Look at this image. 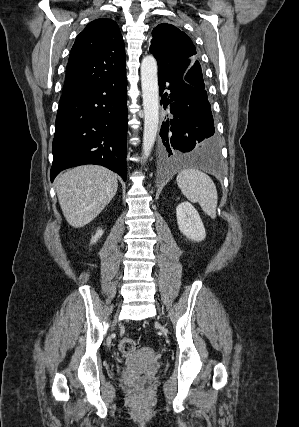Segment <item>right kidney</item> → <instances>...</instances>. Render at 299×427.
<instances>
[{"label": "right kidney", "mask_w": 299, "mask_h": 427, "mask_svg": "<svg viewBox=\"0 0 299 427\" xmlns=\"http://www.w3.org/2000/svg\"><path fill=\"white\" fill-rule=\"evenodd\" d=\"M103 235V230L102 229H98L95 236L92 237L91 239V243H96L98 241V239Z\"/></svg>", "instance_id": "obj_1"}]
</instances>
